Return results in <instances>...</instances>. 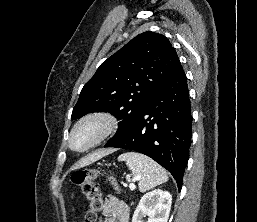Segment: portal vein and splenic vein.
<instances>
[{"instance_id":"1","label":"portal vein and splenic vein","mask_w":257,"mask_h":222,"mask_svg":"<svg viewBox=\"0 0 257 222\" xmlns=\"http://www.w3.org/2000/svg\"><path fill=\"white\" fill-rule=\"evenodd\" d=\"M135 187H136V186H135L134 183H130V184H129V188H130V189H135Z\"/></svg>"}]
</instances>
